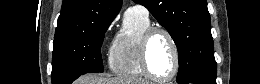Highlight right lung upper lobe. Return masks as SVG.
<instances>
[{
	"label": "right lung upper lobe",
	"mask_w": 260,
	"mask_h": 84,
	"mask_svg": "<svg viewBox=\"0 0 260 84\" xmlns=\"http://www.w3.org/2000/svg\"><path fill=\"white\" fill-rule=\"evenodd\" d=\"M122 0H64L55 37L70 35L91 23L113 20Z\"/></svg>",
	"instance_id": "1"
}]
</instances>
